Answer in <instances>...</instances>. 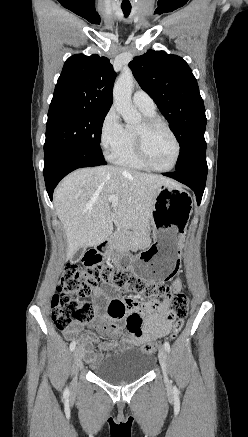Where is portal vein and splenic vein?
I'll list each match as a JSON object with an SVG mask.
<instances>
[{
	"label": "portal vein and splenic vein",
	"instance_id": "18ae733b",
	"mask_svg": "<svg viewBox=\"0 0 248 437\" xmlns=\"http://www.w3.org/2000/svg\"><path fill=\"white\" fill-rule=\"evenodd\" d=\"M108 201L114 207V206H116V204L118 202V198L116 196L112 195V196H109Z\"/></svg>",
	"mask_w": 248,
	"mask_h": 437
}]
</instances>
